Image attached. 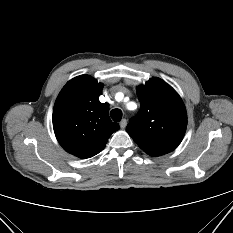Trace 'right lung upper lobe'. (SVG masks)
<instances>
[{"mask_svg": "<svg viewBox=\"0 0 233 233\" xmlns=\"http://www.w3.org/2000/svg\"><path fill=\"white\" fill-rule=\"evenodd\" d=\"M103 85L88 75L77 76L63 87L53 109V128L60 145L79 158L101 152L110 135L119 129L99 101Z\"/></svg>", "mask_w": 233, "mask_h": 233, "instance_id": "cb5924a9", "label": "right lung upper lobe"}]
</instances>
